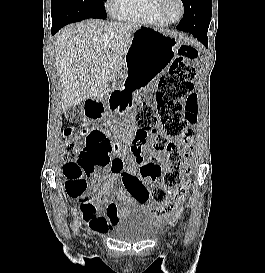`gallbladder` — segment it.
<instances>
[{
	"label": "gallbladder",
	"mask_w": 265,
	"mask_h": 273,
	"mask_svg": "<svg viewBox=\"0 0 265 273\" xmlns=\"http://www.w3.org/2000/svg\"><path fill=\"white\" fill-rule=\"evenodd\" d=\"M66 118L73 122L80 118L81 116V107L80 106H72L65 111Z\"/></svg>",
	"instance_id": "bac80fb5"
}]
</instances>
